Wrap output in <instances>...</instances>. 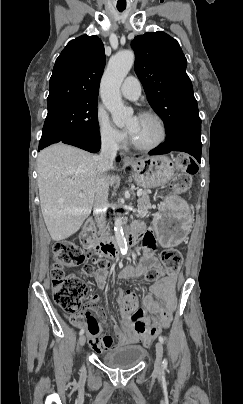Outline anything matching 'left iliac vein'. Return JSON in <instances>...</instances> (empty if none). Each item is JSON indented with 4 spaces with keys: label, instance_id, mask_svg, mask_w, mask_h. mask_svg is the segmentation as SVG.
Instances as JSON below:
<instances>
[{
    "label": "left iliac vein",
    "instance_id": "left-iliac-vein-1",
    "mask_svg": "<svg viewBox=\"0 0 243 404\" xmlns=\"http://www.w3.org/2000/svg\"><path fill=\"white\" fill-rule=\"evenodd\" d=\"M162 359H163V346L159 341L156 343V360L154 364V371L158 374L162 368Z\"/></svg>",
    "mask_w": 243,
    "mask_h": 404
}]
</instances>
